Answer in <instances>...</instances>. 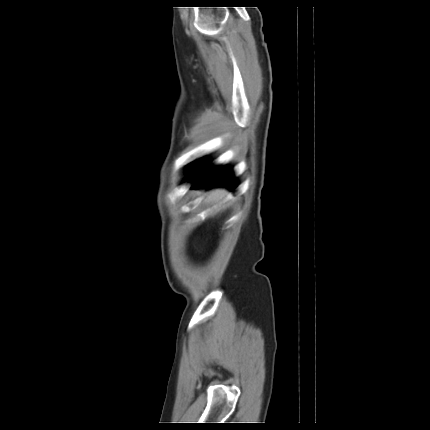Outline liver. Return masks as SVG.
I'll list each match as a JSON object with an SVG mask.
<instances>
[{
    "label": "liver",
    "mask_w": 430,
    "mask_h": 430,
    "mask_svg": "<svg viewBox=\"0 0 430 430\" xmlns=\"http://www.w3.org/2000/svg\"><path fill=\"white\" fill-rule=\"evenodd\" d=\"M224 196V192L222 190H216L213 192L207 199L208 202H218Z\"/></svg>",
    "instance_id": "1"
}]
</instances>
